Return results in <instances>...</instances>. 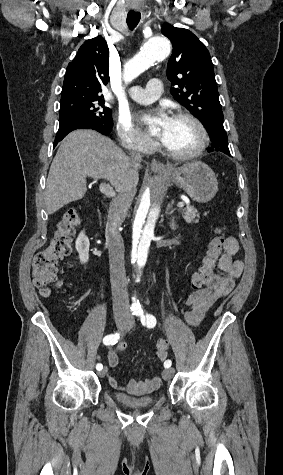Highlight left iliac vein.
<instances>
[{"label": "left iliac vein", "mask_w": 283, "mask_h": 475, "mask_svg": "<svg viewBox=\"0 0 283 475\" xmlns=\"http://www.w3.org/2000/svg\"><path fill=\"white\" fill-rule=\"evenodd\" d=\"M134 325H135V321H134L133 318H131V320L126 324L125 330H130L131 328H133ZM173 374H174V369L173 368L164 369L162 371L163 380H165V381L170 380L172 378Z\"/></svg>", "instance_id": "1"}]
</instances>
